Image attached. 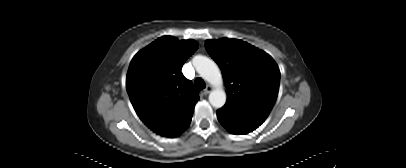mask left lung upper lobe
I'll use <instances>...</instances> for the list:
<instances>
[{
    "instance_id": "1",
    "label": "left lung upper lobe",
    "mask_w": 406,
    "mask_h": 168,
    "mask_svg": "<svg viewBox=\"0 0 406 168\" xmlns=\"http://www.w3.org/2000/svg\"><path fill=\"white\" fill-rule=\"evenodd\" d=\"M227 88L224 108L265 120L278 95L280 71L264 51L237 39L207 40Z\"/></svg>"
}]
</instances>
